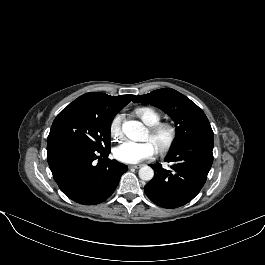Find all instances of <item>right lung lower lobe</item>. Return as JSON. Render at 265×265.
<instances>
[{"instance_id":"98d812e1","label":"right lung lower lobe","mask_w":265,"mask_h":265,"mask_svg":"<svg viewBox=\"0 0 265 265\" xmlns=\"http://www.w3.org/2000/svg\"><path fill=\"white\" fill-rule=\"evenodd\" d=\"M81 141L59 139L47 143V161L61 191L71 200L94 205L106 200L128 167ZM98 162L96 164V160Z\"/></svg>"}]
</instances>
